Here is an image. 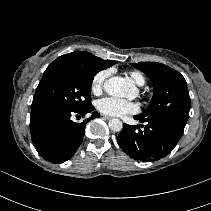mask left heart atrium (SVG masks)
Masks as SVG:
<instances>
[{"label":"left heart atrium","mask_w":211,"mask_h":211,"mask_svg":"<svg viewBox=\"0 0 211 211\" xmlns=\"http://www.w3.org/2000/svg\"><path fill=\"white\" fill-rule=\"evenodd\" d=\"M97 109L104 114L111 116H122L129 113H135L138 110L134 102L117 98L105 97L97 102Z\"/></svg>","instance_id":"39dd6f15"}]
</instances>
